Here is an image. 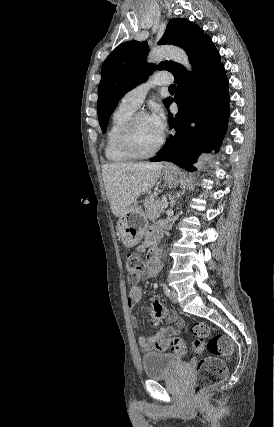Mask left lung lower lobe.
I'll return each instance as SVG.
<instances>
[{
  "mask_svg": "<svg viewBox=\"0 0 274 427\" xmlns=\"http://www.w3.org/2000/svg\"><path fill=\"white\" fill-rule=\"evenodd\" d=\"M193 71L184 68L175 75L178 84L173 101L179 110L169 114L170 128L175 135L169 139L150 161H171L187 171L202 152L217 149L223 139L229 117L228 80L220 56L210 38L202 41L189 58ZM195 122L196 127H190Z\"/></svg>",
  "mask_w": 274,
  "mask_h": 427,
  "instance_id": "0a47b994",
  "label": "left lung lower lobe"
}]
</instances>
